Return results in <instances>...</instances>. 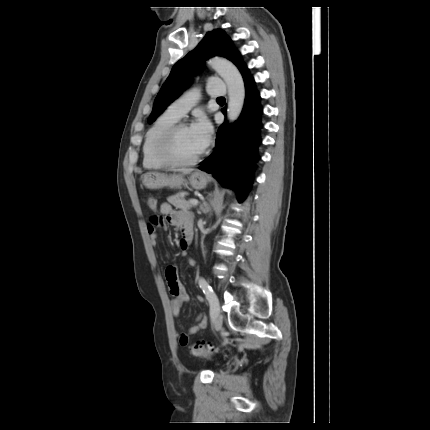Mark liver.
Instances as JSON below:
<instances>
[{
  "mask_svg": "<svg viewBox=\"0 0 430 430\" xmlns=\"http://www.w3.org/2000/svg\"><path fill=\"white\" fill-rule=\"evenodd\" d=\"M179 172H182L183 174H190L192 171H194V169L192 168H188V169H179L177 170Z\"/></svg>",
  "mask_w": 430,
  "mask_h": 430,
  "instance_id": "6515ba94",
  "label": "liver"
}]
</instances>
